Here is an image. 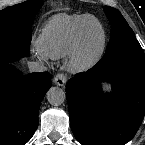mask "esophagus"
Masks as SVG:
<instances>
[{
	"label": "esophagus",
	"instance_id": "1",
	"mask_svg": "<svg viewBox=\"0 0 145 145\" xmlns=\"http://www.w3.org/2000/svg\"><path fill=\"white\" fill-rule=\"evenodd\" d=\"M54 83L57 86H61L63 87L66 84V76L63 73H58L55 77H54Z\"/></svg>",
	"mask_w": 145,
	"mask_h": 145
}]
</instances>
